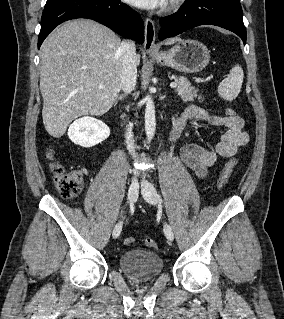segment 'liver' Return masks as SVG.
Returning <instances> with one entry per match:
<instances>
[{
  "instance_id": "6515ba94",
  "label": "liver",
  "mask_w": 284,
  "mask_h": 319,
  "mask_svg": "<svg viewBox=\"0 0 284 319\" xmlns=\"http://www.w3.org/2000/svg\"><path fill=\"white\" fill-rule=\"evenodd\" d=\"M179 40L167 39L165 44ZM121 44L112 30L86 19L68 21L45 39L40 49V91L49 135L59 138L77 117L103 115L113 106L121 89Z\"/></svg>"
}]
</instances>
